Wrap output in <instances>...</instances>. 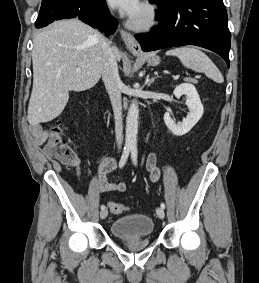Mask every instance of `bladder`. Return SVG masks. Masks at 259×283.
Returning <instances> with one entry per match:
<instances>
[{
	"label": "bladder",
	"instance_id": "1",
	"mask_svg": "<svg viewBox=\"0 0 259 283\" xmlns=\"http://www.w3.org/2000/svg\"><path fill=\"white\" fill-rule=\"evenodd\" d=\"M154 230L151 218L142 214H134L115 220L110 228L113 236L122 239L149 237Z\"/></svg>",
	"mask_w": 259,
	"mask_h": 283
}]
</instances>
